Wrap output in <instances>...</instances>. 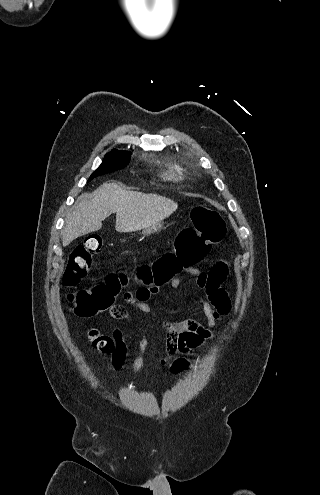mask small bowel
<instances>
[{
  "instance_id": "obj_1",
  "label": "small bowel",
  "mask_w": 320,
  "mask_h": 495,
  "mask_svg": "<svg viewBox=\"0 0 320 495\" xmlns=\"http://www.w3.org/2000/svg\"><path fill=\"white\" fill-rule=\"evenodd\" d=\"M195 281V284L204 290V296L198 299L202 306V311L207 317L208 327H204L201 323L194 319H186L179 321H166L163 328L166 334V356L161 363L167 366L170 372L178 373L189 365L187 355L192 354L197 349L203 347L206 342L213 338V329L217 321L230 311V300L226 293L220 288L221 283L226 278L228 273L227 264L223 260L217 261L209 273H204L198 268H185ZM179 280H174L172 286L176 287ZM148 295L146 300H137L135 295L138 293ZM158 292V286L150 285L140 287L135 294L126 292L123 296L127 304L133 305L134 309L141 314H151L152 308L148 300L151 295ZM109 315L115 319H128L129 313L125 306L117 305L109 309ZM115 338L117 340L116 358L118 361L113 362L115 367H118L126 352L125 343L122 339L121 329H116ZM148 341L146 335L142 337L138 345V355L134 359L132 370L139 372L144 365V355ZM176 354L183 356L176 357Z\"/></svg>"
}]
</instances>
